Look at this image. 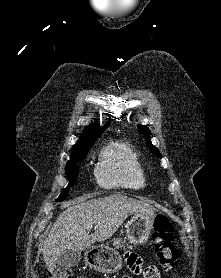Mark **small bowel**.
Here are the masks:
<instances>
[{
    "instance_id": "1",
    "label": "small bowel",
    "mask_w": 221,
    "mask_h": 278,
    "mask_svg": "<svg viewBox=\"0 0 221 278\" xmlns=\"http://www.w3.org/2000/svg\"><path fill=\"white\" fill-rule=\"evenodd\" d=\"M126 263L130 271L135 274L142 275V278H149L147 275V267L142 265L141 259L134 253H128L125 256ZM121 278H130L127 275H123Z\"/></svg>"
}]
</instances>
